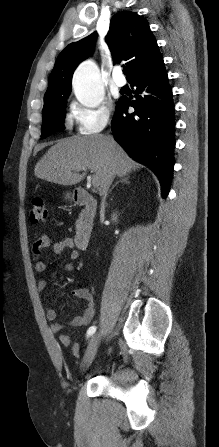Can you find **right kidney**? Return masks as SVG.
<instances>
[{
	"mask_svg": "<svg viewBox=\"0 0 219 447\" xmlns=\"http://www.w3.org/2000/svg\"><path fill=\"white\" fill-rule=\"evenodd\" d=\"M117 220V215L116 214H113L112 215V221H116Z\"/></svg>",
	"mask_w": 219,
	"mask_h": 447,
	"instance_id": "obj_1",
	"label": "right kidney"
}]
</instances>
